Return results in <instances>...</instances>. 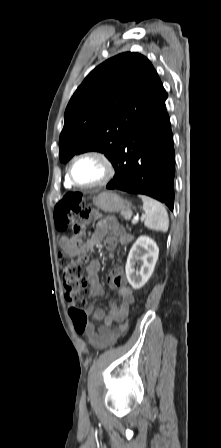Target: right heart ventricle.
Segmentation results:
<instances>
[{"label": "right heart ventricle", "mask_w": 221, "mask_h": 448, "mask_svg": "<svg viewBox=\"0 0 221 448\" xmlns=\"http://www.w3.org/2000/svg\"><path fill=\"white\" fill-rule=\"evenodd\" d=\"M65 186H66L67 188H71V187H73V185L69 182L67 175H66V177H65Z\"/></svg>", "instance_id": "obj_1"}]
</instances>
